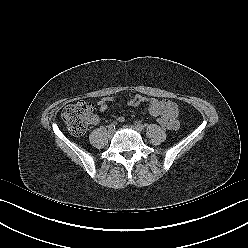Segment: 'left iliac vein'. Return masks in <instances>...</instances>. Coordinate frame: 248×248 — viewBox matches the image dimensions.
<instances>
[{
  "mask_svg": "<svg viewBox=\"0 0 248 248\" xmlns=\"http://www.w3.org/2000/svg\"><path fill=\"white\" fill-rule=\"evenodd\" d=\"M125 127L131 128V129L135 130L136 132H140V131H141V130H139L138 127H136V126L126 125Z\"/></svg>",
  "mask_w": 248,
  "mask_h": 248,
  "instance_id": "obj_1",
  "label": "left iliac vein"
}]
</instances>
